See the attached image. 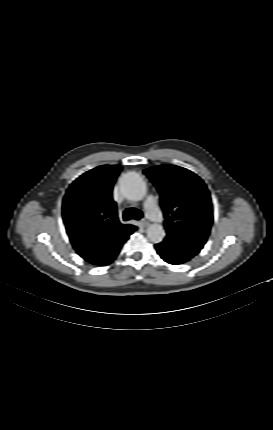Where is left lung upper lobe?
I'll return each mask as SVG.
<instances>
[{
  "label": "left lung upper lobe",
  "mask_w": 273,
  "mask_h": 430,
  "mask_svg": "<svg viewBox=\"0 0 273 430\" xmlns=\"http://www.w3.org/2000/svg\"><path fill=\"white\" fill-rule=\"evenodd\" d=\"M160 193L170 251L190 260L203 248L213 222L210 193L193 172L174 165L144 170Z\"/></svg>",
  "instance_id": "5c2ea615"
}]
</instances>
